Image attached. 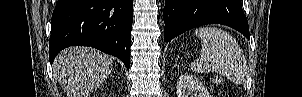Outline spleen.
Listing matches in <instances>:
<instances>
[{
	"label": "spleen",
	"mask_w": 302,
	"mask_h": 97,
	"mask_svg": "<svg viewBox=\"0 0 302 97\" xmlns=\"http://www.w3.org/2000/svg\"><path fill=\"white\" fill-rule=\"evenodd\" d=\"M194 34L202 41L200 58L191 63L195 73H217L234 83H243L247 61L237 41L222 29L200 27Z\"/></svg>",
	"instance_id": "1"
}]
</instances>
